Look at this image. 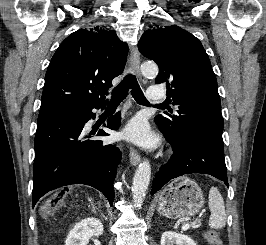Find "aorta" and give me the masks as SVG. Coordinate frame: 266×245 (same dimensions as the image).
<instances>
[{
	"label": "aorta",
	"instance_id": "aorta-1",
	"mask_svg": "<svg viewBox=\"0 0 266 245\" xmlns=\"http://www.w3.org/2000/svg\"><path fill=\"white\" fill-rule=\"evenodd\" d=\"M144 76H156L158 74L157 64H144L141 68ZM151 179V165L149 161H142L140 163L132 183L133 201L137 207H141L144 201L146 191Z\"/></svg>",
	"mask_w": 266,
	"mask_h": 245
}]
</instances>
